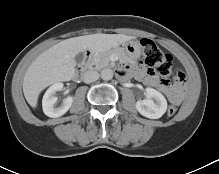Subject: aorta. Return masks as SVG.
Listing matches in <instances>:
<instances>
[{"mask_svg": "<svg viewBox=\"0 0 219 174\" xmlns=\"http://www.w3.org/2000/svg\"><path fill=\"white\" fill-rule=\"evenodd\" d=\"M101 78L105 81L111 80L113 78V71L109 68H105L101 71Z\"/></svg>", "mask_w": 219, "mask_h": 174, "instance_id": "762f6f07", "label": "aorta"}]
</instances>
